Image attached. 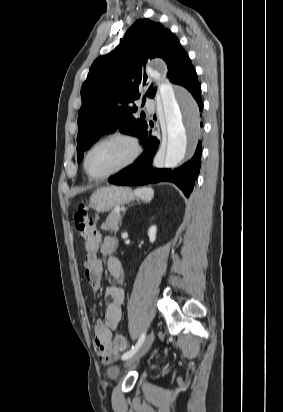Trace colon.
Returning a JSON list of instances; mask_svg holds the SVG:
<instances>
[{
	"mask_svg": "<svg viewBox=\"0 0 283 412\" xmlns=\"http://www.w3.org/2000/svg\"><path fill=\"white\" fill-rule=\"evenodd\" d=\"M74 230L83 241L84 248L88 254L94 255L98 250L97 232L94 228L92 218L89 214L88 208L84 205H80L73 215ZM129 344L126 338L122 335H116L112 341L110 350L105 353L108 355L111 352L126 351Z\"/></svg>",
	"mask_w": 283,
	"mask_h": 412,
	"instance_id": "obj_1",
	"label": "colon"
}]
</instances>
